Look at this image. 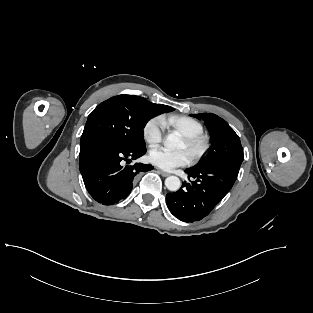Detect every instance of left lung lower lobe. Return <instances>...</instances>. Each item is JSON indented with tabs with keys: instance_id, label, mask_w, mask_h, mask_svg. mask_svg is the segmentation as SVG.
Masks as SVG:
<instances>
[{
	"instance_id": "0a47b994",
	"label": "left lung lower lobe",
	"mask_w": 313,
	"mask_h": 313,
	"mask_svg": "<svg viewBox=\"0 0 313 313\" xmlns=\"http://www.w3.org/2000/svg\"><path fill=\"white\" fill-rule=\"evenodd\" d=\"M241 164L220 163L185 170L191 183H182L166 195L170 212L184 222L199 221L207 216L232 188Z\"/></svg>"
}]
</instances>
